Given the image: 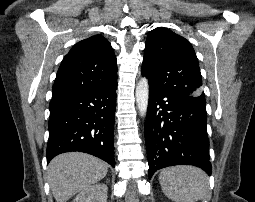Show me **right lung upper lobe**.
Here are the masks:
<instances>
[{
    "label": "right lung upper lobe",
    "instance_id": "1",
    "mask_svg": "<svg viewBox=\"0 0 255 202\" xmlns=\"http://www.w3.org/2000/svg\"><path fill=\"white\" fill-rule=\"evenodd\" d=\"M117 81V61L110 43L101 35L73 46L64 57L52 88V98L106 87Z\"/></svg>",
    "mask_w": 255,
    "mask_h": 202
}]
</instances>
